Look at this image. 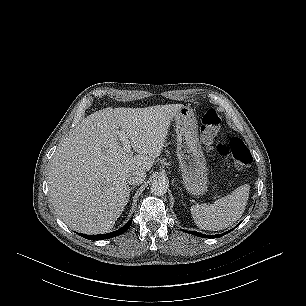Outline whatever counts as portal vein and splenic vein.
Instances as JSON below:
<instances>
[{"label": "portal vein and splenic vein", "instance_id": "1", "mask_svg": "<svg viewBox=\"0 0 306 306\" xmlns=\"http://www.w3.org/2000/svg\"><path fill=\"white\" fill-rule=\"evenodd\" d=\"M119 137H120V140L123 144V149L130 153L131 152V146H130V142L128 140V137L126 136L125 132L124 131H120L119 132Z\"/></svg>", "mask_w": 306, "mask_h": 306}]
</instances>
